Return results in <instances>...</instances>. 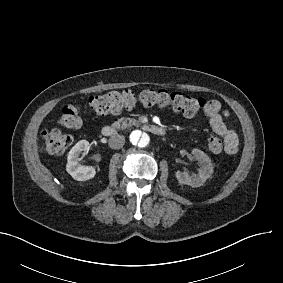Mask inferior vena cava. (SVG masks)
Wrapping results in <instances>:
<instances>
[{"mask_svg":"<svg viewBox=\"0 0 283 283\" xmlns=\"http://www.w3.org/2000/svg\"><path fill=\"white\" fill-rule=\"evenodd\" d=\"M109 146L112 149H120L125 143V137L123 135H113L109 138Z\"/></svg>","mask_w":283,"mask_h":283,"instance_id":"602c4592","label":"inferior vena cava"}]
</instances>
